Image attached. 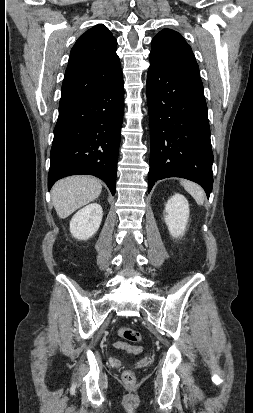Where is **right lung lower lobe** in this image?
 <instances>
[{"mask_svg": "<svg viewBox=\"0 0 253 413\" xmlns=\"http://www.w3.org/2000/svg\"><path fill=\"white\" fill-rule=\"evenodd\" d=\"M124 112L123 75L86 97L59 106L48 188L68 175H94L115 193Z\"/></svg>", "mask_w": 253, "mask_h": 413, "instance_id": "obj_1", "label": "right lung lower lobe"}]
</instances>
